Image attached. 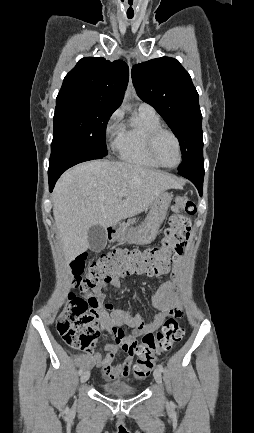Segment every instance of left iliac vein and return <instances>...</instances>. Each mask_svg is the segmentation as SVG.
Listing matches in <instances>:
<instances>
[{"instance_id":"obj_1","label":"left iliac vein","mask_w":254,"mask_h":433,"mask_svg":"<svg viewBox=\"0 0 254 433\" xmlns=\"http://www.w3.org/2000/svg\"><path fill=\"white\" fill-rule=\"evenodd\" d=\"M154 378H155L156 383L159 386H161L162 385V373L158 368L155 369V371H154Z\"/></svg>"}]
</instances>
